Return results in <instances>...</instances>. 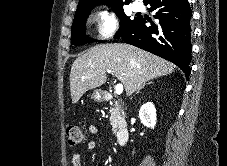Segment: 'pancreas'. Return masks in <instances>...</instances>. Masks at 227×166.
I'll return each instance as SVG.
<instances>
[{"instance_id":"obj_1","label":"pancreas","mask_w":227,"mask_h":166,"mask_svg":"<svg viewBox=\"0 0 227 166\" xmlns=\"http://www.w3.org/2000/svg\"><path fill=\"white\" fill-rule=\"evenodd\" d=\"M109 113L112 131L113 133H116L119 127L126 124L124 111L118 103H114L113 107L110 108Z\"/></svg>"}]
</instances>
